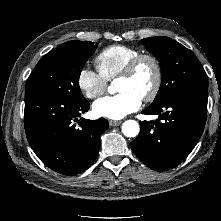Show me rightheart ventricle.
I'll return each instance as SVG.
<instances>
[{
    "label": "right heart ventricle",
    "instance_id": "1",
    "mask_svg": "<svg viewBox=\"0 0 221 221\" xmlns=\"http://www.w3.org/2000/svg\"><path fill=\"white\" fill-rule=\"evenodd\" d=\"M140 53L139 49L131 46L111 45L97 55L95 62L98 71L107 80H113L119 76L127 63Z\"/></svg>",
    "mask_w": 221,
    "mask_h": 221
}]
</instances>
